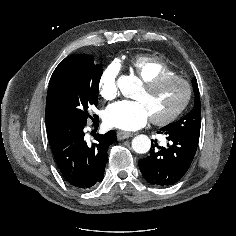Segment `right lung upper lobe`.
Wrapping results in <instances>:
<instances>
[{"instance_id": "obj_1", "label": "right lung upper lobe", "mask_w": 236, "mask_h": 236, "mask_svg": "<svg viewBox=\"0 0 236 236\" xmlns=\"http://www.w3.org/2000/svg\"><path fill=\"white\" fill-rule=\"evenodd\" d=\"M68 58H65L55 69V71L52 74V77L50 79V83H49V88L51 86V82L54 78V76L58 73V71L61 69V67L67 62ZM45 118H46V126H47V131L50 133L52 131H58L61 134L65 131L59 116L57 115V113L52 109V107L50 106L48 99L46 102V111H45Z\"/></svg>"}]
</instances>
